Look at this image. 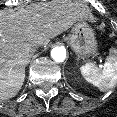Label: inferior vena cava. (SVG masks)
Returning a JSON list of instances; mask_svg holds the SVG:
<instances>
[{
	"mask_svg": "<svg viewBox=\"0 0 117 117\" xmlns=\"http://www.w3.org/2000/svg\"><path fill=\"white\" fill-rule=\"evenodd\" d=\"M28 54L30 56H35L37 54V48L35 46H30L28 48Z\"/></svg>",
	"mask_w": 117,
	"mask_h": 117,
	"instance_id": "602c4592",
	"label": "inferior vena cava"
}]
</instances>
